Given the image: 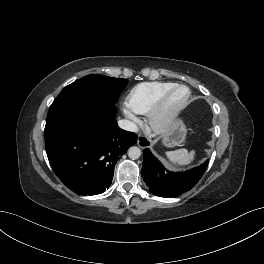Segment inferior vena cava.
I'll return each instance as SVG.
<instances>
[{
	"label": "inferior vena cava",
	"instance_id": "602c4592",
	"mask_svg": "<svg viewBox=\"0 0 264 264\" xmlns=\"http://www.w3.org/2000/svg\"><path fill=\"white\" fill-rule=\"evenodd\" d=\"M118 126L121 129L126 130V131L137 132V130H138V127L134 122L129 121V120H125V119L119 120Z\"/></svg>",
	"mask_w": 264,
	"mask_h": 264
}]
</instances>
